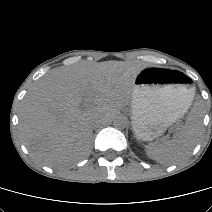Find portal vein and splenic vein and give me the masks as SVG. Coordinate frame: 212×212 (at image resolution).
Returning a JSON list of instances; mask_svg holds the SVG:
<instances>
[{"instance_id":"obj_1","label":"portal vein and splenic vein","mask_w":212,"mask_h":212,"mask_svg":"<svg viewBox=\"0 0 212 212\" xmlns=\"http://www.w3.org/2000/svg\"><path fill=\"white\" fill-rule=\"evenodd\" d=\"M86 102L88 103L87 107H89L90 106V100H86Z\"/></svg>"}]
</instances>
